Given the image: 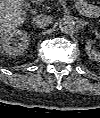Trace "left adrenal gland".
Instances as JSON below:
<instances>
[{
    "label": "left adrenal gland",
    "instance_id": "left-adrenal-gland-1",
    "mask_svg": "<svg viewBox=\"0 0 100 118\" xmlns=\"http://www.w3.org/2000/svg\"><path fill=\"white\" fill-rule=\"evenodd\" d=\"M80 24H81L82 27H84V25H89V23L86 22V21H81Z\"/></svg>",
    "mask_w": 100,
    "mask_h": 118
}]
</instances>
